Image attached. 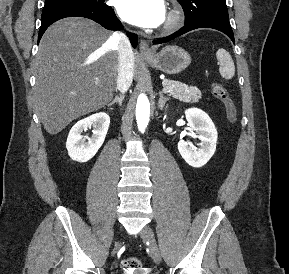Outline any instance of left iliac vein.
<instances>
[{"mask_svg":"<svg viewBox=\"0 0 289 274\" xmlns=\"http://www.w3.org/2000/svg\"><path fill=\"white\" fill-rule=\"evenodd\" d=\"M141 237L147 241L149 245L150 255L156 264L161 261L160 251L153 230L149 226H145L141 231Z\"/></svg>","mask_w":289,"mask_h":274,"instance_id":"1","label":"left iliac vein"}]
</instances>
